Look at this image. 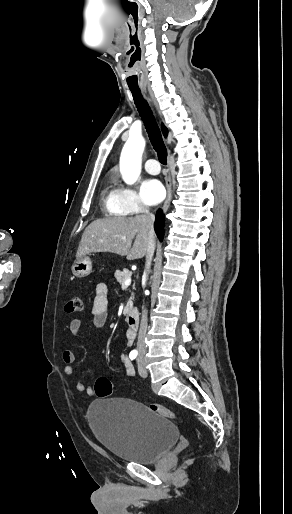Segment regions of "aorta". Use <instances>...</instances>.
<instances>
[{
  "label": "aorta",
  "instance_id": "762f6f07",
  "mask_svg": "<svg viewBox=\"0 0 292 514\" xmlns=\"http://www.w3.org/2000/svg\"><path fill=\"white\" fill-rule=\"evenodd\" d=\"M145 142L142 136H129L120 158V174L125 184H135L141 174V156Z\"/></svg>",
  "mask_w": 292,
  "mask_h": 514
}]
</instances>
